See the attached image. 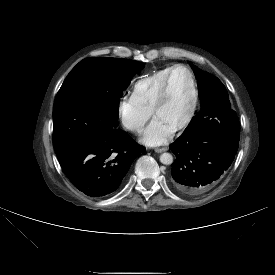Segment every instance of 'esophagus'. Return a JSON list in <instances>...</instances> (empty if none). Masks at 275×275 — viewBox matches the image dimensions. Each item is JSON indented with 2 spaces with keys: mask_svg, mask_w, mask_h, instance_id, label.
<instances>
[{
  "mask_svg": "<svg viewBox=\"0 0 275 275\" xmlns=\"http://www.w3.org/2000/svg\"><path fill=\"white\" fill-rule=\"evenodd\" d=\"M167 150H168L167 147L156 148V149H155V152H156V153H162V152H165V151H167Z\"/></svg>",
  "mask_w": 275,
  "mask_h": 275,
  "instance_id": "1",
  "label": "esophagus"
}]
</instances>
